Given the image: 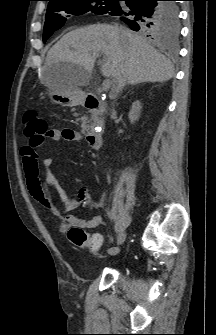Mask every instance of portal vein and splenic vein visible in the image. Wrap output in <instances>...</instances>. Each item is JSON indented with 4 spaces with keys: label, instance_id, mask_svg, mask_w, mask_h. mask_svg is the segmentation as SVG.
Segmentation results:
<instances>
[{
    "label": "portal vein and splenic vein",
    "instance_id": "portal-vein-and-splenic-vein-1",
    "mask_svg": "<svg viewBox=\"0 0 216 335\" xmlns=\"http://www.w3.org/2000/svg\"><path fill=\"white\" fill-rule=\"evenodd\" d=\"M111 84H112V81L110 79H106L104 82H103V87H102V91H108L111 87Z\"/></svg>",
    "mask_w": 216,
    "mask_h": 335
}]
</instances>
